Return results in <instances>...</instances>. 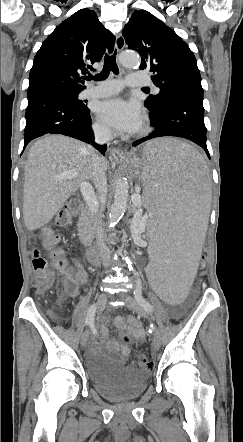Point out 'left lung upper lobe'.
I'll return each instance as SVG.
<instances>
[{
	"mask_svg": "<svg viewBox=\"0 0 243 442\" xmlns=\"http://www.w3.org/2000/svg\"><path fill=\"white\" fill-rule=\"evenodd\" d=\"M123 36L128 47L141 55L140 69L150 70L154 84L160 88L159 94L148 96L144 102L152 114L162 109L166 97L177 88H202L193 52L174 30L149 12L135 11Z\"/></svg>",
	"mask_w": 243,
	"mask_h": 442,
	"instance_id": "5c2ea615",
	"label": "left lung upper lobe"
}]
</instances>
